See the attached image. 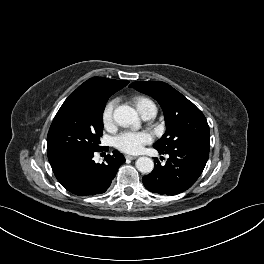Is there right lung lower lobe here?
<instances>
[{
	"label": "right lung lower lobe",
	"instance_id": "obj_1",
	"mask_svg": "<svg viewBox=\"0 0 264 264\" xmlns=\"http://www.w3.org/2000/svg\"><path fill=\"white\" fill-rule=\"evenodd\" d=\"M97 151L75 150L59 155L49 162L57 180L69 192L78 196L104 193L114 179L118 168L125 162L118 151L107 155L105 162L99 164L93 160Z\"/></svg>",
	"mask_w": 264,
	"mask_h": 264
}]
</instances>
